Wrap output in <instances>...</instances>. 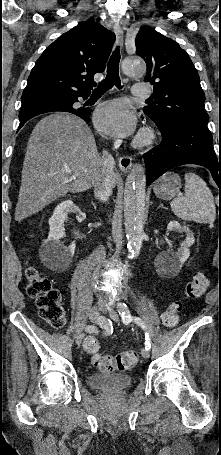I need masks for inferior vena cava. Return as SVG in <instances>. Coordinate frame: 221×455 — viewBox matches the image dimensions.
Returning a JSON list of instances; mask_svg holds the SVG:
<instances>
[{
  "label": "inferior vena cava",
  "mask_w": 221,
  "mask_h": 455,
  "mask_svg": "<svg viewBox=\"0 0 221 455\" xmlns=\"http://www.w3.org/2000/svg\"><path fill=\"white\" fill-rule=\"evenodd\" d=\"M114 167L115 161L112 155L107 151H103L102 168L94 182V194L100 201L107 202L112 194Z\"/></svg>",
  "instance_id": "1"
}]
</instances>
